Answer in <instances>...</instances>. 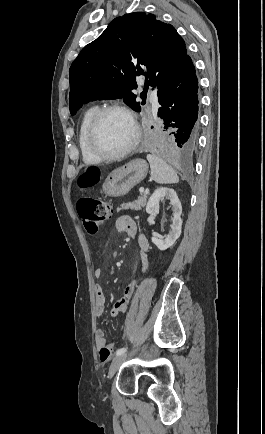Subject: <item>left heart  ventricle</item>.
Here are the masks:
<instances>
[{
  "instance_id": "1",
  "label": "left heart ventricle",
  "mask_w": 265,
  "mask_h": 434,
  "mask_svg": "<svg viewBox=\"0 0 265 434\" xmlns=\"http://www.w3.org/2000/svg\"><path fill=\"white\" fill-rule=\"evenodd\" d=\"M134 126L130 118L122 112L107 114L101 124L100 141L111 153L126 150L133 142Z\"/></svg>"
}]
</instances>
